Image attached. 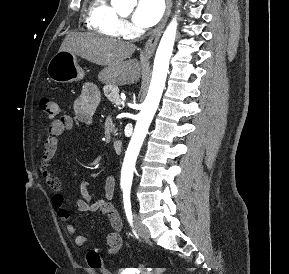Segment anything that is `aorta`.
Segmentation results:
<instances>
[{
  "label": "aorta",
  "instance_id": "1",
  "mask_svg": "<svg viewBox=\"0 0 289 274\" xmlns=\"http://www.w3.org/2000/svg\"><path fill=\"white\" fill-rule=\"evenodd\" d=\"M127 1L129 0H112V3L114 6H120L125 4ZM176 30L177 22L174 18L166 28L156 52L149 91L145 101L143 102L134 133L125 154L121 172L122 185H131L132 183L137 156L148 132L153 116L158 108L165 86L169 60L175 42Z\"/></svg>",
  "mask_w": 289,
  "mask_h": 274
}]
</instances>
